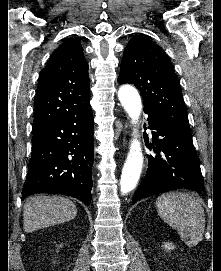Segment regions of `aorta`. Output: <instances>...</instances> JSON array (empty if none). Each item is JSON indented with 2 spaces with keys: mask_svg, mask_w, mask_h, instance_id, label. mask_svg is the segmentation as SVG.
Instances as JSON below:
<instances>
[{
  "mask_svg": "<svg viewBox=\"0 0 221 271\" xmlns=\"http://www.w3.org/2000/svg\"><path fill=\"white\" fill-rule=\"evenodd\" d=\"M118 98L131 119V123L135 126L138 125L142 102L137 89L131 85H123L118 90ZM134 134L121 174L120 188L122 194H127L136 187L142 172L143 153L136 129Z\"/></svg>",
  "mask_w": 221,
  "mask_h": 271,
  "instance_id": "1",
  "label": "aorta"
}]
</instances>
